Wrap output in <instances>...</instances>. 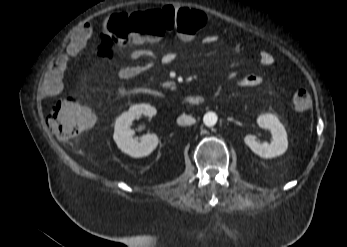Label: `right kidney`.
Returning <instances> with one entry per match:
<instances>
[{
	"label": "right kidney",
	"instance_id": "1",
	"mask_svg": "<svg viewBox=\"0 0 347 247\" xmlns=\"http://www.w3.org/2000/svg\"><path fill=\"white\" fill-rule=\"evenodd\" d=\"M155 114L156 109L154 107L149 104H139L130 107L127 112L122 113L116 119L113 139L122 152L134 158L151 154L158 144V137L155 134H146L138 142L133 138L134 131L130 126L135 118Z\"/></svg>",
	"mask_w": 347,
	"mask_h": 247
}]
</instances>
